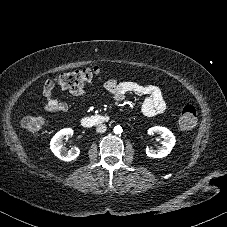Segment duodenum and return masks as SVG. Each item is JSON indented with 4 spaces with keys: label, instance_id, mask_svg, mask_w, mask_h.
Listing matches in <instances>:
<instances>
[{
    "label": "duodenum",
    "instance_id": "1",
    "mask_svg": "<svg viewBox=\"0 0 227 227\" xmlns=\"http://www.w3.org/2000/svg\"><path fill=\"white\" fill-rule=\"evenodd\" d=\"M108 121V116L105 115H92L81 119V125L86 128H91Z\"/></svg>",
    "mask_w": 227,
    "mask_h": 227
}]
</instances>
